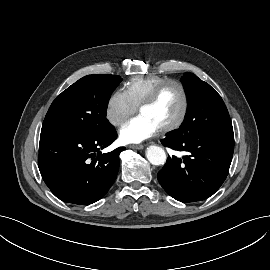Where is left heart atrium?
<instances>
[{
  "instance_id": "1",
  "label": "left heart atrium",
  "mask_w": 270,
  "mask_h": 270,
  "mask_svg": "<svg viewBox=\"0 0 270 270\" xmlns=\"http://www.w3.org/2000/svg\"><path fill=\"white\" fill-rule=\"evenodd\" d=\"M158 130V127L148 117L140 114L121 127L119 138L124 144H137L152 137Z\"/></svg>"
}]
</instances>
